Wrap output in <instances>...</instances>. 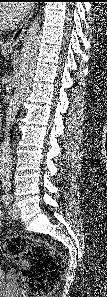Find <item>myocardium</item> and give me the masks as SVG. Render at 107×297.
<instances>
[{
    "label": "myocardium",
    "instance_id": "obj_1",
    "mask_svg": "<svg viewBox=\"0 0 107 297\" xmlns=\"http://www.w3.org/2000/svg\"><path fill=\"white\" fill-rule=\"evenodd\" d=\"M0 27H1V28H6V27H8V24L5 23V22H1V23H0Z\"/></svg>",
    "mask_w": 107,
    "mask_h": 297
}]
</instances>
